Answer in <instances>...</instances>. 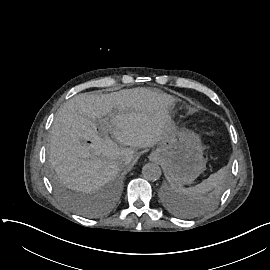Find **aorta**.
<instances>
[{"label": "aorta", "mask_w": 270, "mask_h": 270, "mask_svg": "<svg viewBox=\"0 0 270 270\" xmlns=\"http://www.w3.org/2000/svg\"><path fill=\"white\" fill-rule=\"evenodd\" d=\"M143 176L146 180L156 181L161 177V168L154 163H148L143 167Z\"/></svg>", "instance_id": "aorta-1"}]
</instances>
